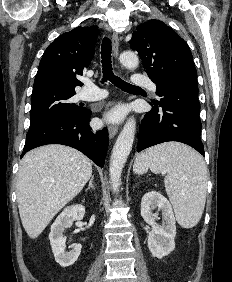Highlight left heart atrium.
I'll use <instances>...</instances> for the list:
<instances>
[{
    "label": "left heart atrium",
    "instance_id": "obj_1",
    "mask_svg": "<svg viewBox=\"0 0 232 282\" xmlns=\"http://www.w3.org/2000/svg\"><path fill=\"white\" fill-rule=\"evenodd\" d=\"M124 115V110L120 107L114 108L105 115V120L108 122H117Z\"/></svg>",
    "mask_w": 232,
    "mask_h": 282
}]
</instances>
